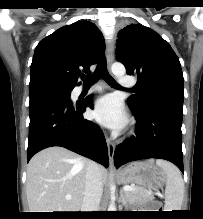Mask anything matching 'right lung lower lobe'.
<instances>
[{
	"mask_svg": "<svg viewBox=\"0 0 203 219\" xmlns=\"http://www.w3.org/2000/svg\"><path fill=\"white\" fill-rule=\"evenodd\" d=\"M90 98L72 104L57 92H38L30 96L27 161L42 149L62 146L108 167V148L100 128L83 118Z\"/></svg>",
	"mask_w": 203,
	"mask_h": 219,
	"instance_id": "1",
	"label": "right lung lower lobe"
}]
</instances>
